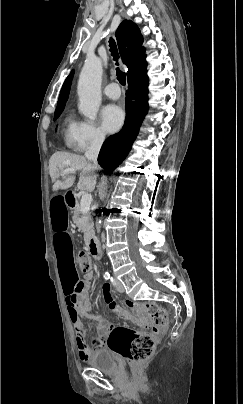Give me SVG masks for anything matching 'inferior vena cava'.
Listing matches in <instances>:
<instances>
[{
    "label": "inferior vena cava",
    "instance_id": "obj_1",
    "mask_svg": "<svg viewBox=\"0 0 243 404\" xmlns=\"http://www.w3.org/2000/svg\"><path fill=\"white\" fill-rule=\"evenodd\" d=\"M104 140L105 136H103V134H101V136H96V138L92 140L90 148H88V150L85 152V158L90 160V162H93V168H98L97 158Z\"/></svg>",
    "mask_w": 243,
    "mask_h": 404
}]
</instances>
